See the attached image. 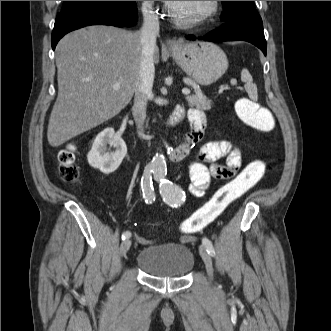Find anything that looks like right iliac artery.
I'll return each instance as SVG.
<instances>
[{"label":"right iliac artery","mask_w":331,"mask_h":331,"mask_svg":"<svg viewBox=\"0 0 331 331\" xmlns=\"http://www.w3.org/2000/svg\"><path fill=\"white\" fill-rule=\"evenodd\" d=\"M152 172L153 169L151 167H146L144 170V174L141 180V188L143 192V198L146 203H152L155 200L154 188L152 183ZM131 237L130 231H125L122 234V239H128Z\"/></svg>","instance_id":"right-iliac-artery-1"}]
</instances>
